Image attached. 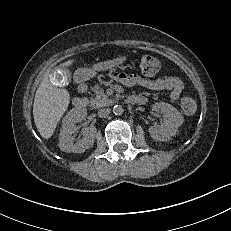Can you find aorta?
I'll return each instance as SVG.
<instances>
[{"instance_id": "762f6f07", "label": "aorta", "mask_w": 231, "mask_h": 231, "mask_svg": "<svg viewBox=\"0 0 231 231\" xmlns=\"http://www.w3.org/2000/svg\"><path fill=\"white\" fill-rule=\"evenodd\" d=\"M113 113L115 115H122V113H123V107L121 105H115L113 107Z\"/></svg>"}]
</instances>
